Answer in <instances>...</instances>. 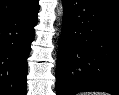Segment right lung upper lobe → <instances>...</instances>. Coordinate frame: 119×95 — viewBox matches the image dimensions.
Returning a JSON list of instances; mask_svg holds the SVG:
<instances>
[{
  "label": "right lung upper lobe",
  "instance_id": "cb5924a9",
  "mask_svg": "<svg viewBox=\"0 0 119 95\" xmlns=\"http://www.w3.org/2000/svg\"><path fill=\"white\" fill-rule=\"evenodd\" d=\"M38 0H0V21L16 15Z\"/></svg>",
  "mask_w": 119,
  "mask_h": 95
}]
</instances>
